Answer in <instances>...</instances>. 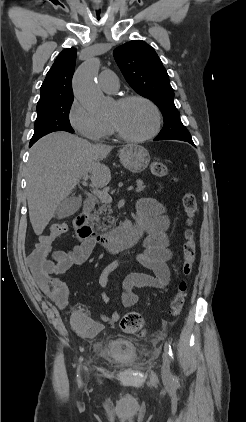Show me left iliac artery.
Wrapping results in <instances>:
<instances>
[{"mask_svg":"<svg viewBox=\"0 0 246 422\" xmlns=\"http://www.w3.org/2000/svg\"><path fill=\"white\" fill-rule=\"evenodd\" d=\"M164 349H165V351L168 353V355L170 356V358L171 359H173V351H172V348H171V345L169 344V343H165V346H164ZM173 380L174 381H177V378H176V376H174V378H173Z\"/></svg>","mask_w":246,"mask_h":422,"instance_id":"left-iliac-artery-1","label":"left iliac artery"}]
</instances>
